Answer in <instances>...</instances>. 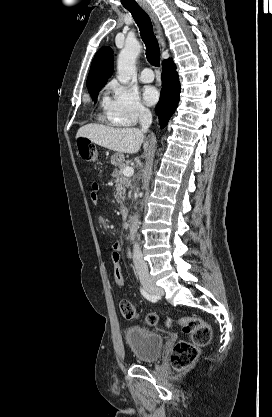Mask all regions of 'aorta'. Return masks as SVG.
<instances>
[{
    "mask_svg": "<svg viewBox=\"0 0 272 417\" xmlns=\"http://www.w3.org/2000/svg\"><path fill=\"white\" fill-rule=\"evenodd\" d=\"M141 51V45L138 41H127L124 48L118 55L117 59V79L122 84H127L136 68V59ZM136 219L131 228V239H134V234L137 230Z\"/></svg>",
    "mask_w": 272,
    "mask_h": 417,
    "instance_id": "1",
    "label": "aorta"
}]
</instances>
